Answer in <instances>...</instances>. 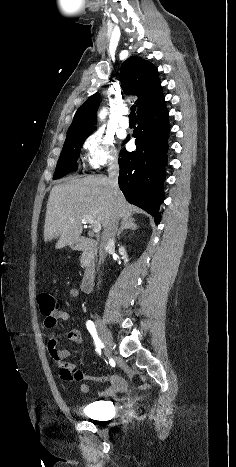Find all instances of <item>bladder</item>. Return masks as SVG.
<instances>
[{"instance_id": "bladder-1", "label": "bladder", "mask_w": 236, "mask_h": 467, "mask_svg": "<svg viewBox=\"0 0 236 467\" xmlns=\"http://www.w3.org/2000/svg\"><path fill=\"white\" fill-rule=\"evenodd\" d=\"M114 409L110 401H95L90 403L84 410V414L92 419L98 420L105 417Z\"/></svg>"}]
</instances>
